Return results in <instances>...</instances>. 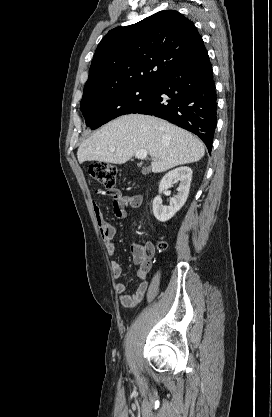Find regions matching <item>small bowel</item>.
Returning <instances> with one entry per match:
<instances>
[{
	"label": "small bowel",
	"instance_id": "obj_1",
	"mask_svg": "<svg viewBox=\"0 0 272 417\" xmlns=\"http://www.w3.org/2000/svg\"><path fill=\"white\" fill-rule=\"evenodd\" d=\"M95 193L97 195L109 196L113 198V212L119 219L126 217L128 208H139L142 204L141 195H123L117 188L114 187H109L106 190L97 189ZM92 204L102 240L107 253L112 256L117 250V245L114 241L117 228L104 219L102 210L95 200H93ZM154 252V247L149 243L146 245H141L139 243L132 244V260L134 264L138 265V285L135 291L129 294L127 292V286L124 283L116 281L114 284V290L119 294V303L123 307H133L144 298L148 288V277L152 269V258L154 256ZM111 270L115 280L121 278L123 270L117 261H111Z\"/></svg>",
	"mask_w": 272,
	"mask_h": 417
}]
</instances>
